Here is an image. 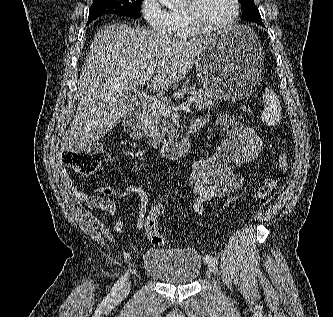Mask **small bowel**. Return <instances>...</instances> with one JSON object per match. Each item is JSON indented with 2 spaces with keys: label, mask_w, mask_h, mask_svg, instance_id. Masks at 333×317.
<instances>
[{
  "label": "small bowel",
  "mask_w": 333,
  "mask_h": 317,
  "mask_svg": "<svg viewBox=\"0 0 333 317\" xmlns=\"http://www.w3.org/2000/svg\"><path fill=\"white\" fill-rule=\"evenodd\" d=\"M197 120L202 126L206 123L205 118ZM217 123L225 131L224 141L212 157L198 160L191 167L190 183L192 191L197 195L192 202V208L197 216L204 214L206 203L227 197L242 188L243 177L234 169L255 160L260 155L263 145L262 136L253 127L233 116L221 115L217 118ZM64 185L75 201L85 202L92 208L100 209L107 217L114 216L117 207L113 200L103 196L111 197L117 194L118 198L123 200L135 195L139 201L137 231L145 232L144 221L149 199L143 187L131 184L118 193L112 185H100L97 191L102 196H97L81 191L67 176L64 178ZM114 231L116 233L123 231L121 219L115 221Z\"/></svg>",
  "instance_id": "1"
}]
</instances>
